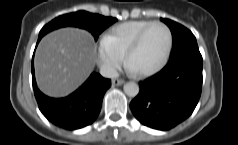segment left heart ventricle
<instances>
[{"mask_svg":"<svg viewBox=\"0 0 238 145\" xmlns=\"http://www.w3.org/2000/svg\"><path fill=\"white\" fill-rule=\"evenodd\" d=\"M167 31L162 26L151 27L140 46L132 53L128 65L134 71L147 70L156 65L167 47Z\"/></svg>","mask_w":238,"mask_h":145,"instance_id":"1","label":"left heart ventricle"}]
</instances>
